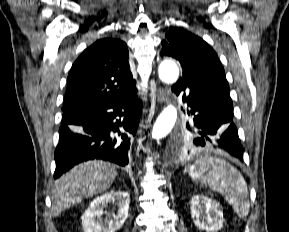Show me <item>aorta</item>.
<instances>
[{
	"label": "aorta",
	"instance_id": "1",
	"mask_svg": "<svg viewBox=\"0 0 289 232\" xmlns=\"http://www.w3.org/2000/svg\"><path fill=\"white\" fill-rule=\"evenodd\" d=\"M159 78L168 84L175 83L179 77V68L172 61H163L158 69ZM177 120V109L168 105L158 116L153 130L152 138L161 139L165 137L174 127Z\"/></svg>",
	"mask_w": 289,
	"mask_h": 232
}]
</instances>
